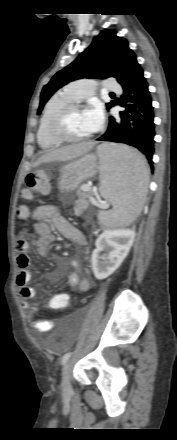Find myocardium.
<instances>
[{
	"instance_id": "myocardium-1",
	"label": "myocardium",
	"mask_w": 177,
	"mask_h": 440,
	"mask_svg": "<svg viewBox=\"0 0 177 440\" xmlns=\"http://www.w3.org/2000/svg\"><path fill=\"white\" fill-rule=\"evenodd\" d=\"M80 110H83V105L76 102L65 105L64 107L59 109L49 122V135L59 143H77L89 140L91 138V134L85 137L73 138L68 136L64 129V124L68 115L73 111Z\"/></svg>"
}]
</instances>
